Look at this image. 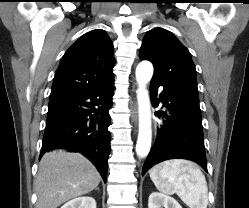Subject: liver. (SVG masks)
Listing matches in <instances>:
<instances>
[{"mask_svg": "<svg viewBox=\"0 0 249 208\" xmlns=\"http://www.w3.org/2000/svg\"><path fill=\"white\" fill-rule=\"evenodd\" d=\"M100 180L95 166L79 153L62 149L45 153L34 183L36 208H57L72 198L91 192Z\"/></svg>", "mask_w": 249, "mask_h": 208, "instance_id": "6515ba94", "label": "liver"}]
</instances>
